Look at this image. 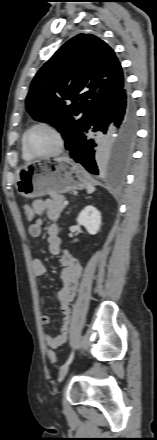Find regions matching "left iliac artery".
Segmentation results:
<instances>
[{"label":"left iliac artery","mask_w":157,"mask_h":440,"mask_svg":"<svg viewBox=\"0 0 157 440\" xmlns=\"http://www.w3.org/2000/svg\"><path fill=\"white\" fill-rule=\"evenodd\" d=\"M74 358V353L72 352L64 365H69Z\"/></svg>","instance_id":"left-iliac-artery-1"}]
</instances>
